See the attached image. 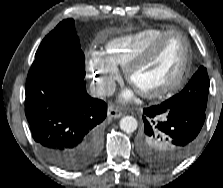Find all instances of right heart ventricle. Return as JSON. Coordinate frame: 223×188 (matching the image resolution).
<instances>
[{
    "instance_id": "right-heart-ventricle-1",
    "label": "right heart ventricle",
    "mask_w": 223,
    "mask_h": 188,
    "mask_svg": "<svg viewBox=\"0 0 223 188\" xmlns=\"http://www.w3.org/2000/svg\"><path fill=\"white\" fill-rule=\"evenodd\" d=\"M167 31L170 30L147 28L113 38L105 44L104 54L115 67L125 69L146 47Z\"/></svg>"
}]
</instances>
